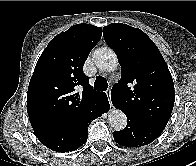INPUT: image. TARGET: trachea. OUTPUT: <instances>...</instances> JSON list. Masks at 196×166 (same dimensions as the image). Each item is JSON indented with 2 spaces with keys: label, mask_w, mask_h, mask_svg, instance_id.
Returning <instances> with one entry per match:
<instances>
[{
  "label": "trachea",
  "mask_w": 196,
  "mask_h": 166,
  "mask_svg": "<svg viewBox=\"0 0 196 166\" xmlns=\"http://www.w3.org/2000/svg\"><path fill=\"white\" fill-rule=\"evenodd\" d=\"M96 90L105 91L108 88L107 80L104 77L98 76L94 83Z\"/></svg>",
  "instance_id": "trachea-1"
}]
</instances>
